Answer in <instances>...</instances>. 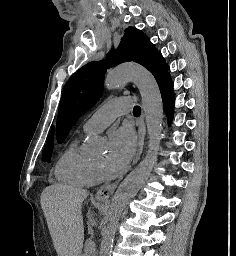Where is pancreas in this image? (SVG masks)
Listing matches in <instances>:
<instances>
[{
  "mask_svg": "<svg viewBox=\"0 0 236 256\" xmlns=\"http://www.w3.org/2000/svg\"><path fill=\"white\" fill-rule=\"evenodd\" d=\"M88 224L91 226V224H95V219H88ZM95 233V230H92L90 234ZM85 250H92V247L95 246L94 239L93 238H86L84 242Z\"/></svg>",
  "mask_w": 236,
  "mask_h": 256,
  "instance_id": "1",
  "label": "pancreas"
}]
</instances>
